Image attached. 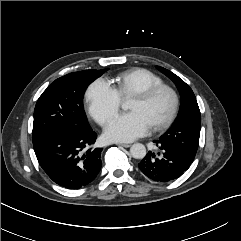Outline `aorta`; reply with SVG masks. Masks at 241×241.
Listing matches in <instances>:
<instances>
[{"instance_id": "762f6f07", "label": "aorta", "mask_w": 241, "mask_h": 241, "mask_svg": "<svg viewBox=\"0 0 241 241\" xmlns=\"http://www.w3.org/2000/svg\"><path fill=\"white\" fill-rule=\"evenodd\" d=\"M123 109H127V104H122ZM130 154L135 159H143L146 156V148L141 143L133 144L130 148Z\"/></svg>"}]
</instances>
